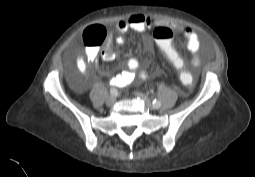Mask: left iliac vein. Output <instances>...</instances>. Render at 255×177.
Masks as SVG:
<instances>
[{"label": "left iliac vein", "mask_w": 255, "mask_h": 177, "mask_svg": "<svg viewBox=\"0 0 255 177\" xmlns=\"http://www.w3.org/2000/svg\"><path fill=\"white\" fill-rule=\"evenodd\" d=\"M136 95L138 97H140L141 99H143L145 101V103L147 104V106L150 108V109H156V107H154V105L151 103V101L149 100L148 97H146L144 94L142 93H136Z\"/></svg>", "instance_id": "4c4485c4"}]
</instances>
